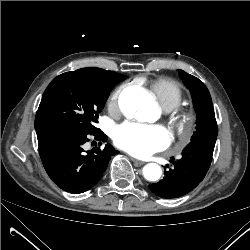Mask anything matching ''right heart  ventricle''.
<instances>
[{
    "mask_svg": "<svg viewBox=\"0 0 250 250\" xmlns=\"http://www.w3.org/2000/svg\"><path fill=\"white\" fill-rule=\"evenodd\" d=\"M150 91L165 111H171L178 107L184 98L180 84L170 78H158L151 81Z\"/></svg>",
    "mask_w": 250,
    "mask_h": 250,
    "instance_id": "e07e8e85",
    "label": "right heart ventricle"
}]
</instances>
